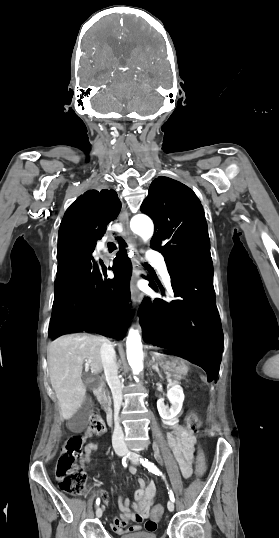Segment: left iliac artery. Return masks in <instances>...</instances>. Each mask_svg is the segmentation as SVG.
<instances>
[{
	"label": "left iliac artery",
	"mask_w": 279,
	"mask_h": 538,
	"mask_svg": "<svg viewBox=\"0 0 279 538\" xmlns=\"http://www.w3.org/2000/svg\"><path fill=\"white\" fill-rule=\"evenodd\" d=\"M140 462L142 463V465L144 467H146L150 472L156 474V475H160L162 476L163 479H165L164 475L162 474V472L159 471V469L152 463L150 462L148 459H140ZM169 497H170V500L171 501H175V497H174V494L172 492L171 489H169Z\"/></svg>",
	"instance_id": "44dca946"
}]
</instances>
